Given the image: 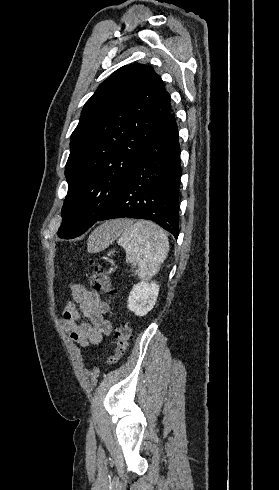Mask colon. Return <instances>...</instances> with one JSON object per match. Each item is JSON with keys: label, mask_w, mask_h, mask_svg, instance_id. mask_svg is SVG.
I'll return each instance as SVG.
<instances>
[{"label": "colon", "mask_w": 279, "mask_h": 490, "mask_svg": "<svg viewBox=\"0 0 279 490\" xmlns=\"http://www.w3.org/2000/svg\"><path fill=\"white\" fill-rule=\"evenodd\" d=\"M89 269L86 271V275L95 290L112 295L114 288L112 286L110 274L107 270L101 268L94 263L92 259H88ZM115 350L107 358V362L114 364L117 363L121 357L127 352V349L131 343L132 335L131 329L128 323H120L114 330Z\"/></svg>", "instance_id": "obj_1"}]
</instances>
